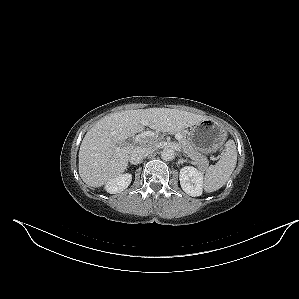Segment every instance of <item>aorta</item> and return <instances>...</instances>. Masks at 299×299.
<instances>
[{"mask_svg": "<svg viewBox=\"0 0 299 299\" xmlns=\"http://www.w3.org/2000/svg\"><path fill=\"white\" fill-rule=\"evenodd\" d=\"M161 157L164 161H171L175 157V150L173 148H164Z\"/></svg>", "mask_w": 299, "mask_h": 299, "instance_id": "762f6f07", "label": "aorta"}]
</instances>
